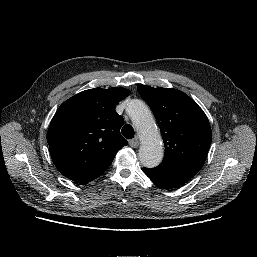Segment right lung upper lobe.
<instances>
[{"label": "right lung upper lobe", "mask_w": 257, "mask_h": 257, "mask_svg": "<svg viewBox=\"0 0 257 257\" xmlns=\"http://www.w3.org/2000/svg\"><path fill=\"white\" fill-rule=\"evenodd\" d=\"M129 94L123 87L94 88L74 95L58 108L47 142L60 173L87 183L111 165L117 151L128 143L120 134L124 120L115 106Z\"/></svg>", "instance_id": "cb5924a9"}]
</instances>
